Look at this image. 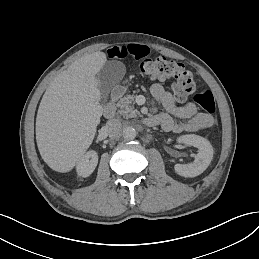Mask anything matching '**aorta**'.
I'll return each instance as SVG.
<instances>
[{"label": "aorta", "instance_id": "1", "mask_svg": "<svg viewBox=\"0 0 259 259\" xmlns=\"http://www.w3.org/2000/svg\"><path fill=\"white\" fill-rule=\"evenodd\" d=\"M122 135H123V138L127 141H131V140H134L136 135H137V132L135 130V128L131 127V126H127L123 129L122 131Z\"/></svg>", "mask_w": 259, "mask_h": 259}]
</instances>
